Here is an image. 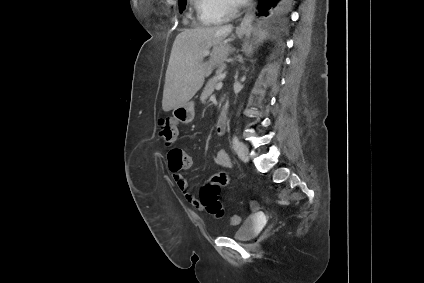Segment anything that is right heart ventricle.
Masks as SVG:
<instances>
[{"label": "right heart ventricle", "mask_w": 424, "mask_h": 283, "mask_svg": "<svg viewBox=\"0 0 424 283\" xmlns=\"http://www.w3.org/2000/svg\"><path fill=\"white\" fill-rule=\"evenodd\" d=\"M201 19H202V21L205 24H216V23H219L220 22V19L218 17L214 16V15H210V16L204 17L201 14Z\"/></svg>", "instance_id": "1"}]
</instances>
